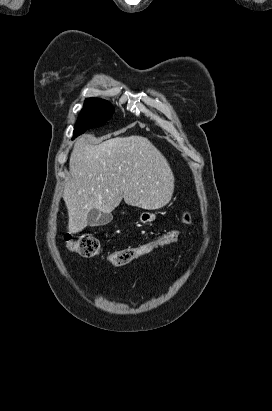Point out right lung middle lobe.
<instances>
[{"instance_id":"obj_1","label":"right lung middle lobe","mask_w":272,"mask_h":411,"mask_svg":"<svg viewBox=\"0 0 272 411\" xmlns=\"http://www.w3.org/2000/svg\"><path fill=\"white\" fill-rule=\"evenodd\" d=\"M114 113L113 106L105 100L88 98L77 119L74 136L84 133L87 129L104 125Z\"/></svg>"}]
</instances>
